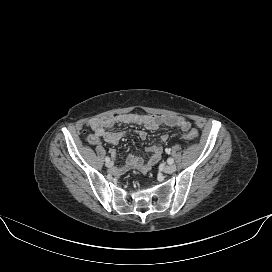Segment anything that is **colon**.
I'll list each match as a JSON object with an SVG mask.
<instances>
[{"mask_svg":"<svg viewBox=\"0 0 272 272\" xmlns=\"http://www.w3.org/2000/svg\"><path fill=\"white\" fill-rule=\"evenodd\" d=\"M186 140L193 141L198 138V132L196 130H189L183 134Z\"/></svg>","mask_w":272,"mask_h":272,"instance_id":"5ec220e1","label":"colon"}]
</instances>
